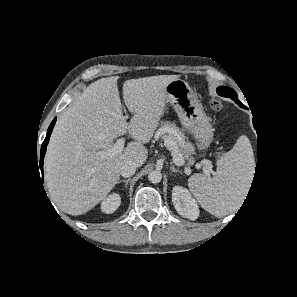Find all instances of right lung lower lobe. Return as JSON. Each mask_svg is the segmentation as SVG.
Listing matches in <instances>:
<instances>
[{
  "label": "right lung lower lobe",
  "mask_w": 297,
  "mask_h": 297,
  "mask_svg": "<svg viewBox=\"0 0 297 297\" xmlns=\"http://www.w3.org/2000/svg\"><path fill=\"white\" fill-rule=\"evenodd\" d=\"M55 122H56V118H54V120L51 122L49 128H48V131H47V135H46V138L41 146V152H40V162H39V168H40V171L42 173V179H43V158L45 156V152H46V147H47V144L49 142V138H50V135L52 133V130H53V127L55 125ZM41 178V177H40Z\"/></svg>",
  "instance_id": "obj_1"
}]
</instances>
